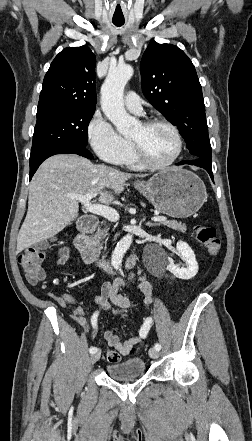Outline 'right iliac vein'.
<instances>
[{"mask_svg":"<svg viewBox=\"0 0 252 441\" xmlns=\"http://www.w3.org/2000/svg\"><path fill=\"white\" fill-rule=\"evenodd\" d=\"M101 353L99 351H97L96 353H93L90 357V363L93 365L95 364L99 358H100Z\"/></svg>","mask_w":252,"mask_h":441,"instance_id":"right-iliac-vein-1","label":"right iliac vein"}]
</instances>
